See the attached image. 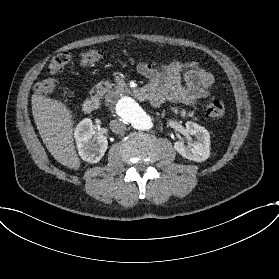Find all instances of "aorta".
<instances>
[{
  "mask_svg": "<svg viewBox=\"0 0 279 279\" xmlns=\"http://www.w3.org/2000/svg\"><path fill=\"white\" fill-rule=\"evenodd\" d=\"M115 113L138 130H149L153 123L151 117L131 97L119 96L113 103Z\"/></svg>",
  "mask_w": 279,
  "mask_h": 279,
  "instance_id": "762f6f07",
  "label": "aorta"
}]
</instances>
